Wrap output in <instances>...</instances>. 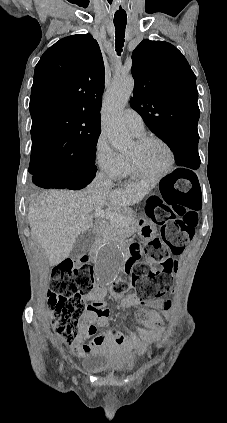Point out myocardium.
Wrapping results in <instances>:
<instances>
[{"label":"myocardium","instance_id":"f54148a6","mask_svg":"<svg viewBox=\"0 0 227 423\" xmlns=\"http://www.w3.org/2000/svg\"><path fill=\"white\" fill-rule=\"evenodd\" d=\"M150 142L159 143L161 146H163L168 154L167 165L161 172L157 174L146 173L138 167L136 159L133 155L128 154L127 157L130 165V171L133 175L148 181H158L165 178L173 171L176 163V155L171 145L164 138L155 134L142 135L136 139L135 144L137 146H144Z\"/></svg>","mask_w":227,"mask_h":423}]
</instances>
